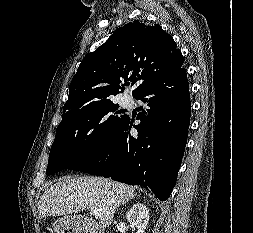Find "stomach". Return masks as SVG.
<instances>
[{
  "mask_svg": "<svg viewBox=\"0 0 253 233\" xmlns=\"http://www.w3.org/2000/svg\"><path fill=\"white\" fill-rule=\"evenodd\" d=\"M55 227L58 231H61L58 233H71V231L76 230L75 224H74V218H72V217L58 220L55 223Z\"/></svg>",
  "mask_w": 253,
  "mask_h": 233,
  "instance_id": "1",
  "label": "stomach"
}]
</instances>
